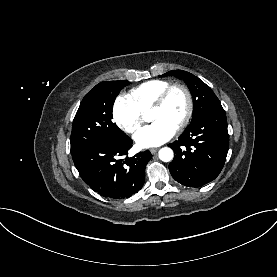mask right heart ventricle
<instances>
[{
    "mask_svg": "<svg viewBox=\"0 0 277 277\" xmlns=\"http://www.w3.org/2000/svg\"><path fill=\"white\" fill-rule=\"evenodd\" d=\"M169 85L170 82L166 80H150L132 88L129 92V97L137 108L144 112L150 109L160 93Z\"/></svg>",
    "mask_w": 277,
    "mask_h": 277,
    "instance_id": "e07e8e85",
    "label": "right heart ventricle"
}]
</instances>
